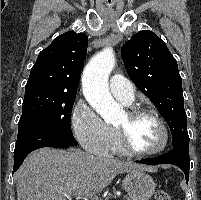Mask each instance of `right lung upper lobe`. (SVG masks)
I'll list each match as a JSON object with an SVG mask.
<instances>
[{"label": "right lung upper lobe", "mask_w": 201, "mask_h": 200, "mask_svg": "<svg viewBox=\"0 0 201 200\" xmlns=\"http://www.w3.org/2000/svg\"><path fill=\"white\" fill-rule=\"evenodd\" d=\"M87 47L88 37L84 33L69 31L55 38L39 53L25 93L51 91L76 95Z\"/></svg>", "instance_id": "obj_1"}]
</instances>
